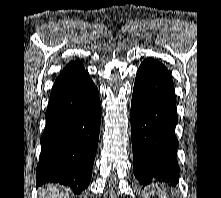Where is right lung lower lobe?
Returning a JSON list of instances; mask_svg holds the SVG:
<instances>
[{
	"mask_svg": "<svg viewBox=\"0 0 221 198\" xmlns=\"http://www.w3.org/2000/svg\"><path fill=\"white\" fill-rule=\"evenodd\" d=\"M45 118L37 186L60 183L79 194L91 179L101 123L99 92L87 71L53 88Z\"/></svg>",
	"mask_w": 221,
	"mask_h": 198,
	"instance_id": "right-lung-lower-lobe-1",
	"label": "right lung lower lobe"
}]
</instances>
